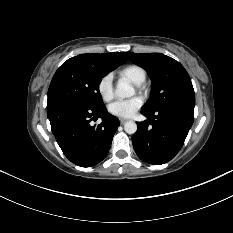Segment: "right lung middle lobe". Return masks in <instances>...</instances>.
Instances as JSON below:
<instances>
[{"label":"right lung middle lobe","instance_id":"obj_1","mask_svg":"<svg viewBox=\"0 0 233 233\" xmlns=\"http://www.w3.org/2000/svg\"><path fill=\"white\" fill-rule=\"evenodd\" d=\"M119 65L81 56L68 59L53 76L48 89L47 103L70 101L93 109L103 108L99 83Z\"/></svg>","mask_w":233,"mask_h":233}]
</instances>
